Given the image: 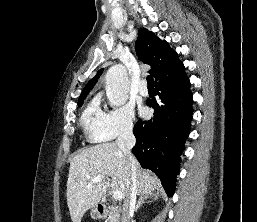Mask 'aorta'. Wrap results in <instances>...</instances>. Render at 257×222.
Masks as SVG:
<instances>
[{"label": "aorta", "mask_w": 257, "mask_h": 222, "mask_svg": "<svg viewBox=\"0 0 257 222\" xmlns=\"http://www.w3.org/2000/svg\"><path fill=\"white\" fill-rule=\"evenodd\" d=\"M106 95L112 106L119 107L128 100L129 83L126 68L121 65L110 67L105 76Z\"/></svg>", "instance_id": "1"}]
</instances>
